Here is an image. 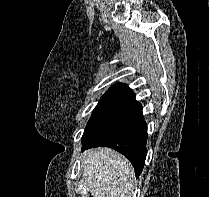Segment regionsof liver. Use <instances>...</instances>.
Listing matches in <instances>:
<instances>
[{
    "label": "liver",
    "mask_w": 209,
    "mask_h": 197,
    "mask_svg": "<svg viewBox=\"0 0 209 197\" xmlns=\"http://www.w3.org/2000/svg\"><path fill=\"white\" fill-rule=\"evenodd\" d=\"M82 170L93 197H129L134 171L118 152L91 149L82 156Z\"/></svg>",
    "instance_id": "obj_1"
}]
</instances>
